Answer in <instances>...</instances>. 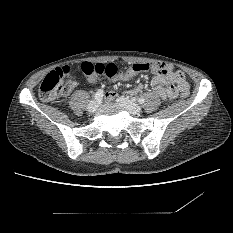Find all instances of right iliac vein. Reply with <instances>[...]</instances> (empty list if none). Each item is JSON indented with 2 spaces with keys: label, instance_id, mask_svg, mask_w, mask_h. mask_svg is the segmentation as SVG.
<instances>
[{
  "label": "right iliac vein",
  "instance_id": "63e3f726",
  "mask_svg": "<svg viewBox=\"0 0 233 233\" xmlns=\"http://www.w3.org/2000/svg\"><path fill=\"white\" fill-rule=\"evenodd\" d=\"M88 111L93 113L97 110L98 108V103L96 101H91L89 104H88Z\"/></svg>",
  "mask_w": 233,
  "mask_h": 233
}]
</instances>
